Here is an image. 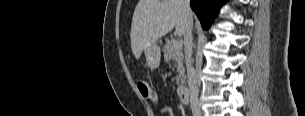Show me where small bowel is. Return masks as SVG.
Listing matches in <instances>:
<instances>
[{
    "label": "small bowel",
    "instance_id": "c3829d8e",
    "mask_svg": "<svg viewBox=\"0 0 305 116\" xmlns=\"http://www.w3.org/2000/svg\"><path fill=\"white\" fill-rule=\"evenodd\" d=\"M161 109L164 116H174L173 113L170 111V109L163 103Z\"/></svg>",
    "mask_w": 305,
    "mask_h": 116
}]
</instances>
